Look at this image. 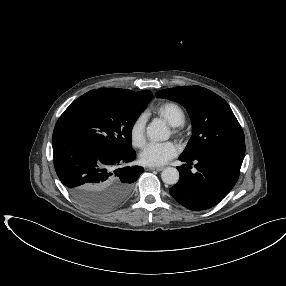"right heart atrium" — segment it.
<instances>
[{"label": "right heart atrium", "instance_id": "1", "mask_svg": "<svg viewBox=\"0 0 286 286\" xmlns=\"http://www.w3.org/2000/svg\"><path fill=\"white\" fill-rule=\"evenodd\" d=\"M130 139L135 147H142L146 141V115H138L130 126Z\"/></svg>", "mask_w": 286, "mask_h": 286}]
</instances>
